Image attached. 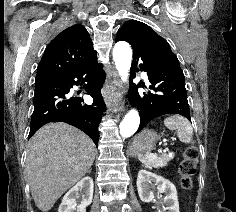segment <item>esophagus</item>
I'll return each mask as SVG.
<instances>
[{"mask_svg":"<svg viewBox=\"0 0 236 212\" xmlns=\"http://www.w3.org/2000/svg\"><path fill=\"white\" fill-rule=\"evenodd\" d=\"M108 90H114V93L108 97V106L114 112L122 111L124 109V102L122 92L119 89V77L116 71L113 72L112 77L108 80Z\"/></svg>","mask_w":236,"mask_h":212,"instance_id":"1","label":"esophagus"}]
</instances>
